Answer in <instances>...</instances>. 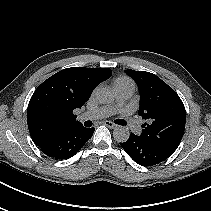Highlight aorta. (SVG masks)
<instances>
[{
    "label": "aorta",
    "instance_id": "1",
    "mask_svg": "<svg viewBox=\"0 0 211 211\" xmlns=\"http://www.w3.org/2000/svg\"><path fill=\"white\" fill-rule=\"evenodd\" d=\"M114 94L109 89H100L96 94L98 102L105 104L114 100ZM130 136L129 129L125 126H118L113 131V137L117 142L123 143L128 140Z\"/></svg>",
    "mask_w": 211,
    "mask_h": 211
}]
</instances>
